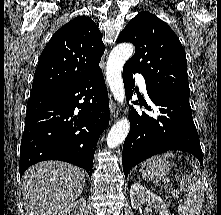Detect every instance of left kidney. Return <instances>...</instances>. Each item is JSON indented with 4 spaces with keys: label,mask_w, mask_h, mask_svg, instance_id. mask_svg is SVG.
Listing matches in <instances>:
<instances>
[{
    "label": "left kidney",
    "mask_w": 221,
    "mask_h": 215,
    "mask_svg": "<svg viewBox=\"0 0 221 215\" xmlns=\"http://www.w3.org/2000/svg\"><path fill=\"white\" fill-rule=\"evenodd\" d=\"M130 199L134 209H139L141 204L147 202L148 206L157 211L159 215H169L167 206L162 198L139 183L131 186Z\"/></svg>",
    "instance_id": "left-kidney-1"
}]
</instances>
